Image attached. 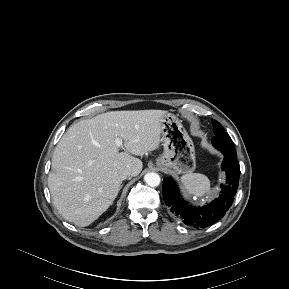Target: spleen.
<instances>
[{
  "instance_id": "1",
  "label": "spleen",
  "mask_w": 289,
  "mask_h": 289,
  "mask_svg": "<svg viewBox=\"0 0 289 289\" xmlns=\"http://www.w3.org/2000/svg\"><path fill=\"white\" fill-rule=\"evenodd\" d=\"M181 182L186 192L191 196L201 197L210 192V181L203 174L191 173L183 175Z\"/></svg>"
}]
</instances>
